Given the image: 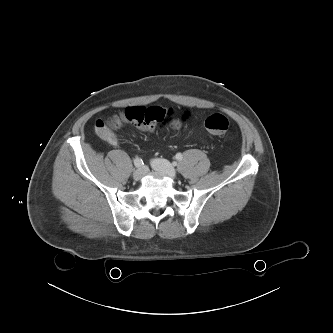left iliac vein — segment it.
Segmentation results:
<instances>
[{
    "label": "left iliac vein",
    "instance_id": "obj_1",
    "mask_svg": "<svg viewBox=\"0 0 333 333\" xmlns=\"http://www.w3.org/2000/svg\"><path fill=\"white\" fill-rule=\"evenodd\" d=\"M151 166L154 170L163 173L172 179L176 178V170L167 160L154 159L151 161Z\"/></svg>",
    "mask_w": 333,
    "mask_h": 333
}]
</instances>
